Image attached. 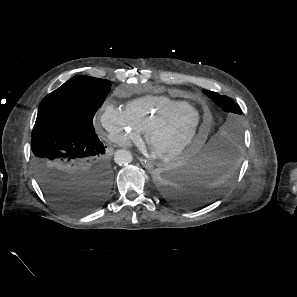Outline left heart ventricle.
<instances>
[{
  "instance_id": "obj_1",
  "label": "left heart ventricle",
  "mask_w": 297,
  "mask_h": 297,
  "mask_svg": "<svg viewBox=\"0 0 297 297\" xmlns=\"http://www.w3.org/2000/svg\"><path fill=\"white\" fill-rule=\"evenodd\" d=\"M197 121L196 112L185 111L180 116L168 121L152 135V147L155 150L167 151L179 146L191 135Z\"/></svg>"
}]
</instances>
